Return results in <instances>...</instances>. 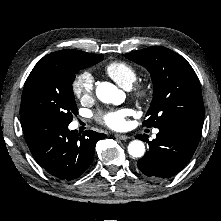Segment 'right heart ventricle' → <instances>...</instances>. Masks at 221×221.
I'll list each match as a JSON object with an SVG mask.
<instances>
[{
    "label": "right heart ventricle",
    "instance_id": "obj_1",
    "mask_svg": "<svg viewBox=\"0 0 221 221\" xmlns=\"http://www.w3.org/2000/svg\"><path fill=\"white\" fill-rule=\"evenodd\" d=\"M104 71L123 88H130L137 80L135 68L123 61H114L107 64Z\"/></svg>",
    "mask_w": 221,
    "mask_h": 221
}]
</instances>
